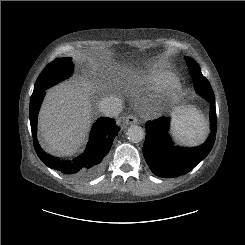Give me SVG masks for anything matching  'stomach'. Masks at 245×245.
Masks as SVG:
<instances>
[{
	"label": "stomach",
	"instance_id": "obj_1",
	"mask_svg": "<svg viewBox=\"0 0 245 245\" xmlns=\"http://www.w3.org/2000/svg\"><path fill=\"white\" fill-rule=\"evenodd\" d=\"M180 112H183V108H177L174 111V113L176 114V116H178L180 114Z\"/></svg>",
	"mask_w": 245,
	"mask_h": 245
}]
</instances>
